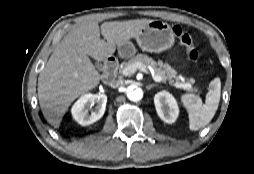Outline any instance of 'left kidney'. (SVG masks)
Here are the masks:
<instances>
[{"instance_id":"5707ae66","label":"left kidney","mask_w":254,"mask_h":174,"mask_svg":"<svg viewBox=\"0 0 254 174\" xmlns=\"http://www.w3.org/2000/svg\"><path fill=\"white\" fill-rule=\"evenodd\" d=\"M154 104L158 116L164 122L172 124L179 115V108L175 98L167 91H161L154 97Z\"/></svg>"}]
</instances>
